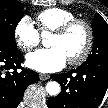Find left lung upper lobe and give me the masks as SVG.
I'll return each instance as SVG.
<instances>
[{
  "instance_id": "left-lung-upper-lobe-1",
  "label": "left lung upper lobe",
  "mask_w": 108,
  "mask_h": 108,
  "mask_svg": "<svg viewBox=\"0 0 108 108\" xmlns=\"http://www.w3.org/2000/svg\"><path fill=\"white\" fill-rule=\"evenodd\" d=\"M92 29L94 33L92 54L89 55L86 62L82 65L95 61H106L108 63V24L98 13L95 14ZM75 94L76 92H68V98L73 99L76 97Z\"/></svg>"
}]
</instances>
